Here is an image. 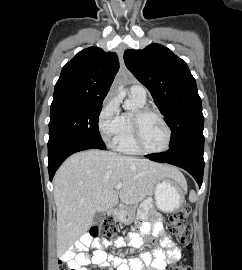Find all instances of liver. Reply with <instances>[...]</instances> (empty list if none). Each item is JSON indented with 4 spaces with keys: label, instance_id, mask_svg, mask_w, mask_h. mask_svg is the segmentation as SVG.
Wrapping results in <instances>:
<instances>
[{
    "label": "liver",
    "instance_id": "liver-1",
    "mask_svg": "<svg viewBox=\"0 0 242 270\" xmlns=\"http://www.w3.org/2000/svg\"><path fill=\"white\" fill-rule=\"evenodd\" d=\"M186 181L174 167L111 151L87 150L70 156L54 177L57 248L64 250L85 234L96 212L119 202L136 205L162 179ZM118 183L123 187L116 192Z\"/></svg>",
    "mask_w": 242,
    "mask_h": 270
}]
</instances>
